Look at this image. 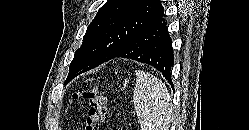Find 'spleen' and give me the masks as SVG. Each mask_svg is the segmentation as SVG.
<instances>
[{
  "label": "spleen",
  "mask_w": 249,
  "mask_h": 130,
  "mask_svg": "<svg viewBox=\"0 0 249 130\" xmlns=\"http://www.w3.org/2000/svg\"><path fill=\"white\" fill-rule=\"evenodd\" d=\"M133 102L141 130H169L173 105L166 85L159 78L137 70Z\"/></svg>",
  "instance_id": "spleen-1"
}]
</instances>
